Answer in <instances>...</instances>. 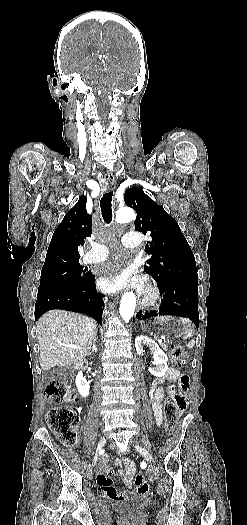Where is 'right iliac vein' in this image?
Returning <instances> with one entry per match:
<instances>
[{
	"mask_svg": "<svg viewBox=\"0 0 247 525\" xmlns=\"http://www.w3.org/2000/svg\"><path fill=\"white\" fill-rule=\"evenodd\" d=\"M105 443H106V439L103 437L100 439L99 443H98V447H97V451H100L104 446H105ZM98 463V458H97V455L94 457L93 459V462H92V466L95 467Z\"/></svg>",
	"mask_w": 247,
	"mask_h": 525,
	"instance_id": "63e3f726",
	"label": "right iliac vein"
}]
</instances>
